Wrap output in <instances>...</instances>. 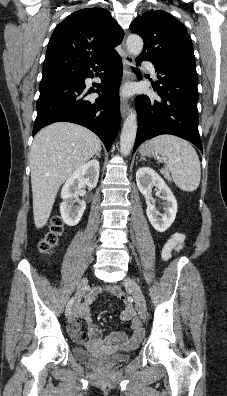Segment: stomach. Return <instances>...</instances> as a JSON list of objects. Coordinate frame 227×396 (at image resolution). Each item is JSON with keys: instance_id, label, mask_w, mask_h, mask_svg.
I'll return each instance as SVG.
<instances>
[{"instance_id": "obj_1", "label": "stomach", "mask_w": 227, "mask_h": 396, "mask_svg": "<svg viewBox=\"0 0 227 396\" xmlns=\"http://www.w3.org/2000/svg\"><path fill=\"white\" fill-rule=\"evenodd\" d=\"M156 148L151 145L149 142L143 144L140 148V154L142 156H155L157 154Z\"/></svg>"}]
</instances>
